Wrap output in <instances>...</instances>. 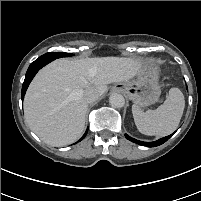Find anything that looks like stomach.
<instances>
[{
    "label": "stomach",
    "instance_id": "0dacf381",
    "mask_svg": "<svg viewBox=\"0 0 201 201\" xmlns=\"http://www.w3.org/2000/svg\"><path fill=\"white\" fill-rule=\"evenodd\" d=\"M158 68L151 61L144 63L140 73L134 80L121 83L118 87L128 99L139 108L154 104L161 93L158 84Z\"/></svg>",
    "mask_w": 201,
    "mask_h": 201
}]
</instances>
